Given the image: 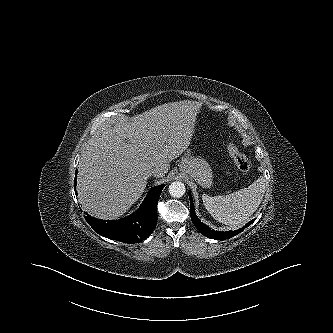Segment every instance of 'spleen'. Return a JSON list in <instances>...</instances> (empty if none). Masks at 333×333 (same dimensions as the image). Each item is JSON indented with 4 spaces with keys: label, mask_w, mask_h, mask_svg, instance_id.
Instances as JSON below:
<instances>
[{
    "label": "spleen",
    "mask_w": 333,
    "mask_h": 333,
    "mask_svg": "<svg viewBox=\"0 0 333 333\" xmlns=\"http://www.w3.org/2000/svg\"><path fill=\"white\" fill-rule=\"evenodd\" d=\"M266 191L263 177H259L249 187L226 196L211 197L202 195L207 211L220 223L240 226L258 209Z\"/></svg>",
    "instance_id": "3e777b00"
}]
</instances>
